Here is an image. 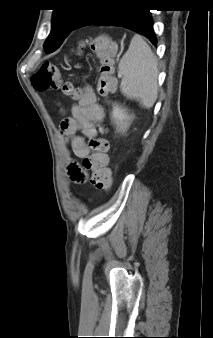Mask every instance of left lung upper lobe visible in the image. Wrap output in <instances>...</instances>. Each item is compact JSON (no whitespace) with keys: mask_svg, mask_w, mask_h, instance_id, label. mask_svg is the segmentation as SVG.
Segmentation results:
<instances>
[{"mask_svg":"<svg viewBox=\"0 0 213 338\" xmlns=\"http://www.w3.org/2000/svg\"><path fill=\"white\" fill-rule=\"evenodd\" d=\"M109 0H57L60 8H55L52 17L51 32L45 41L46 52L58 49L69 33L81 19L96 5Z\"/></svg>","mask_w":213,"mask_h":338,"instance_id":"left-lung-upper-lobe-1","label":"left lung upper lobe"}]
</instances>
